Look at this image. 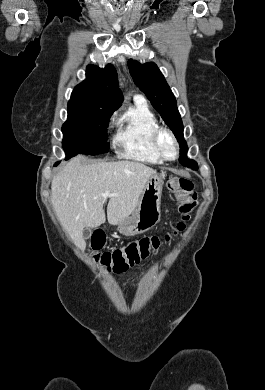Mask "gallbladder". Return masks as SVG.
Instances as JSON below:
<instances>
[{
    "label": "gallbladder",
    "mask_w": 265,
    "mask_h": 390,
    "mask_svg": "<svg viewBox=\"0 0 265 390\" xmlns=\"http://www.w3.org/2000/svg\"><path fill=\"white\" fill-rule=\"evenodd\" d=\"M90 234H91V230L89 228H85L83 230V236H84L85 239L89 238Z\"/></svg>",
    "instance_id": "bac80fb5"
}]
</instances>
